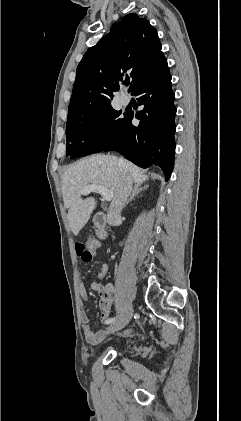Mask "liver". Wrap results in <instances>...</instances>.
Here are the masks:
<instances>
[{
	"mask_svg": "<svg viewBox=\"0 0 241 421\" xmlns=\"http://www.w3.org/2000/svg\"><path fill=\"white\" fill-rule=\"evenodd\" d=\"M116 156L95 154L77 161L67 168L62 178V195L68 209V221L74 235L85 226L97 201L94 197L81 198V191L89 185H102L117 195L126 173L135 184L143 183L148 176L131 162L123 160L124 167Z\"/></svg>",
	"mask_w": 241,
	"mask_h": 421,
	"instance_id": "1",
	"label": "liver"
}]
</instances>
